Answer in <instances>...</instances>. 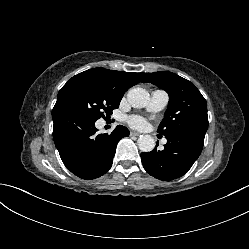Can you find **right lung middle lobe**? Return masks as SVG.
I'll return each mask as SVG.
<instances>
[{"mask_svg":"<svg viewBox=\"0 0 249 249\" xmlns=\"http://www.w3.org/2000/svg\"><path fill=\"white\" fill-rule=\"evenodd\" d=\"M121 99L93 76L79 73L60 89L54 109H67L95 122L104 113L112 114Z\"/></svg>","mask_w":249,"mask_h":249,"instance_id":"dd1d6c3e","label":"right lung middle lobe"}]
</instances>
